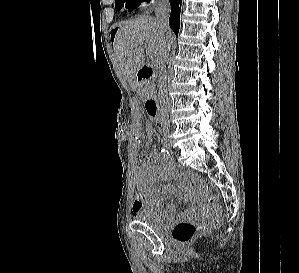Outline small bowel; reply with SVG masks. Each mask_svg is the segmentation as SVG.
I'll list each match as a JSON object with an SVG mask.
<instances>
[{
	"mask_svg": "<svg viewBox=\"0 0 299 273\" xmlns=\"http://www.w3.org/2000/svg\"><path fill=\"white\" fill-rule=\"evenodd\" d=\"M153 128L151 124L146 125L145 136L152 138ZM156 179L163 180H178L179 186L182 189L180 197L189 201L194 197L188 192V179L173 164L165 157H160L156 154L152 155V161L139 166V171L136 176V197L132 204V215L136 218L141 212L147 211L162 217H173L174 205L168 204L164 209L161 208L160 197L173 194L175 188L171 185H163L154 187L153 183ZM198 213L197 209H189L182 218L194 217Z\"/></svg>",
	"mask_w": 299,
	"mask_h": 273,
	"instance_id": "obj_1",
	"label": "small bowel"
}]
</instances>
